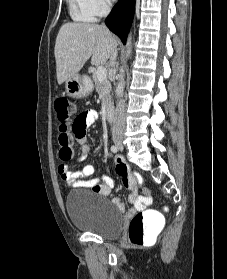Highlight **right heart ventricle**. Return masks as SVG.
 <instances>
[{"label": "right heart ventricle", "instance_id": "e07e8e85", "mask_svg": "<svg viewBox=\"0 0 227 279\" xmlns=\"http://www.w3.org/2000/svg\"><path fill=\"white\" fill-rule=\"evenodd\" d=\"M68 2L70 15L73 20L79 22H90L95 19V15L88 7L86 0H68Z\"/></svg>", "mask_w": 227, "mask_h": 279}]
</instances>
